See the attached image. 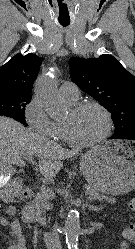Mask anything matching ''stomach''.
<instances>
[{
	"label": "stomach",
	"mask_w": 135,
	"mask_h": 249,
	"mask_svg": "<svg viewBox=\"0 0 135 249\" xmlns=\"http://www.w3.org/2000/svg\"><path fill=\"white\" fill-rule=\"evenodd\" d=\"M90 186L102 193L121 195L135 189V142L105 141L80 160Z\"/></svg>",
	"instance_id": "1"
}]
</instances>
